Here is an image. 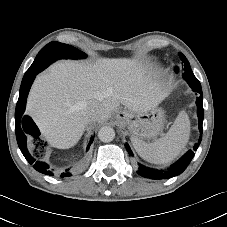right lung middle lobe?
I'll use <instances>...</instances> for the list:
<instances>
[{"instance_id":"obj_1","label":"right lung middle lobe","mask_w":227,"mask_h":227,"mask_svg":"<svg viewBox=\"0 0 227 227\" xmlns=\"http://www.w3.org/2000/svg\"><path fill=\"white\" fill-rule=\"evenodd\" d=\"M50 53L53 56H57L58 59L60 58H71V59H78V58H85L86 54L73 46L68 44L59 43V42H50L46 46H44L38 55L36 56L33 64L30 68L26 71L23 78L27 77L37 66L43 65L44 62L47 61L46 57L47 54Z\"/></svg>"}]
</instances>
